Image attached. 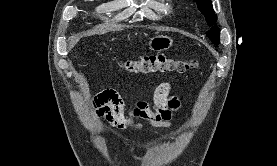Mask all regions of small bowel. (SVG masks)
Segmentation results:
<instances>
[{
  "label": "small bowel",
  "instance_id": "obj_1",
  "mask_svg": "<svg viewBox=\"0 0 277 166\" xmlns=\"http://www.w3.org/2000/svg\"><path fill=\"white\" fill-rule=\"evenodd\" d=\"M171 86L160 83L154 91L152 103L139 101L130 111V119L124 117V103L113 89H106L94 98L96 115L118 128L140 131L144 125L160 128L172 127V110L178 101L170 97Z\"/></svg>",
  "mask_w": 277,
  "mask_h": 166
}]
</instances>
